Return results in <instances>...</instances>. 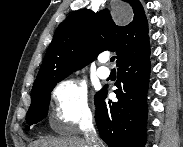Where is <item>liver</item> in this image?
Wrapping results in <instances>:
<instances>
[{
    "label": "liver",
    "mask_w": 183,
    "mask_h": 147,
    "mask_svg": "<svg viewBox=\"0 0 183 147\" xmlns=\"http://www.w3.org/2000/svg\"><path fill=\"white\" fill-rule=\"evenodd\" d=\"M30 147H88L86 140L72 138H45L30 144Z\"/></svg>",
    "instance_id": "liver-1"
}]
</instances>
